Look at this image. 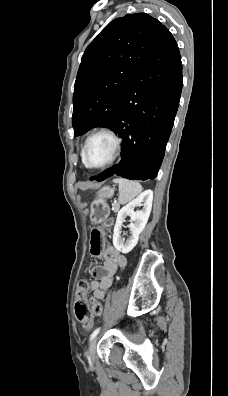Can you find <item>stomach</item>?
I'll return each instance as SVG.
<instances>
[{
	"label": "stomach",
	"instance_id": "obj_1",
	"mask_svg": "<svg viewBox=\"0 0 228 396\" xmlns=\"http://www.w3.org/2000/svg\"><path fill=\"white\" fill-rule=\"evenodd\" d=\"M114 195V190L109 186L101 188L96 198L90 205V219L94 224L103 222L110 214V208L107 199Z\"/></svg>",
	"mask_w": 228,
	"mask_h": 396
}]
</instances>
